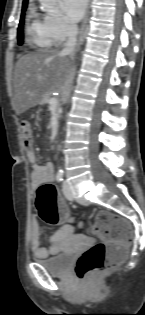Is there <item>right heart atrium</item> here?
<instances>
[{
  "instance_id": "obj_1",
  "label": "right heart atrium",
  "mask_w": 145,
  "mask_h": 315,
  "mask_svg": "<svg viewBox=\"0 0 145 315\" xmlns=\"http://www.w3.org/2000/svg\"><path fill=\"white\" fill-rule=\"evenodd\" d=\"M44 20L52 38L56 42H62L76 32L75 25L60 13H48L45 15Z\"/></svg>"
}]
</instances>
